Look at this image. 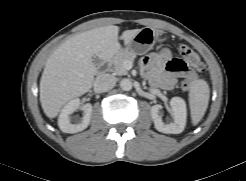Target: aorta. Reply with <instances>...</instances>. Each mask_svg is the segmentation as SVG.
<instances>
[{"label":"aorta","mask_w":246,"mask_h":181,"mask_svg":"<svg viewBox=\"0 0 246 181\" xmlns=\"http://www.w3.org/2000/svg\"><path fill=\"white\" fill-rule=\"evenodd\" d=\"M120 87L124 91H130L133 87V84L130 79L125 78L120 81Z\"/></svg>","instance_id":"obj_1"}]
</instances>
